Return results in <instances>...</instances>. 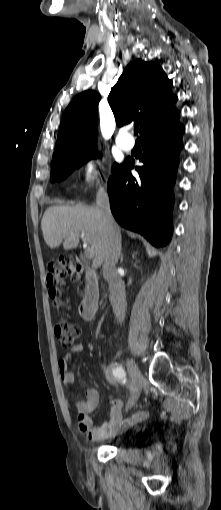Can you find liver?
Masks as SVG:
<instances>
[{
  "mask_svg": "<svg viewBox=\"0 0 221 510\" xmlns=\"http://www.w3.org/2000/svg\"><path fill=\"white\" fill-rule=\"evenodd\" d=\"M43 237L51 249L63 245L64 250L75 249L84 234L94 251L92 267L99 268L104 261L108 233L99 207L86 205H57L49 207L42 218ZM119 229V228H118Z\"/></svg>",
  "mask_w": 221,
  "mask_h": 510,
  "instance_id": "obj_1",
  "label": "liver"
}]
</instances>
